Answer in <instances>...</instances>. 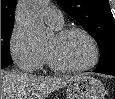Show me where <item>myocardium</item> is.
<instances>
[{"instance_id": "obj_1", "label": "myocardium", "mask_w": 115, "mask_h": 99, "mask_svg": "<svg viewBox=\"0 0 115 99\" xmlns=\"http://www.w3.org/2000/svg\"><path fill=\"white\" fill-rule=\"evenodd\" d=\"M72 33L82 34L88 40L92 48L91 60L87 64L81 66H61L57 64L48 53L45 52V59L47 61L48 66L56 72H65V73L83 72L93 68L98 63L100 56L99 46L95 38L87 30L80 27H68L59 30L55 35L58 38H63Z\"/></svg>"}]
</instances>
